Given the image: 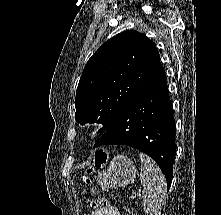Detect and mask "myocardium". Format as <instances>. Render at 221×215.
<instances>
[{"mask_svg":"<svg viewBox=\"0 0 221 215\" xmlns=\"http://www.w3.org/2000/svg\"><path fill=\"white\" fill-rule=\"evenodd\" d=\"M100 125L96 121L87 122L84 126V132L86 135L91 136L97 133Z\"/></svg>","mask_w":221,"mask_h":215,"instance_id":"obj_1","label":"myocardium"}]
</instances>
